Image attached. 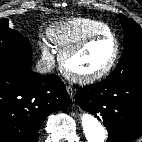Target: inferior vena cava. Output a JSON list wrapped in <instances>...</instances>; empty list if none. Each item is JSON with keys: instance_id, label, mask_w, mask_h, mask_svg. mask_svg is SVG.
Returning a JSON list of instances; mask_svg holds the SVG:
<instances>
[{"instance_id": "obj_1", "label": "inferior vena cava", "mask_w": 142, "mask_h": 142, "mask_svg": "<svg viewBox=\"0 0 142 142\" xmlns=\"http://www.w3.org/2000/svg\"><path fill=\"white\" fill-rule=\"evenodd\" d=\"M55 65V61L53 59H41L40 61H38V63L36 64V70L39 73H47L50 72Z\"/></svg>"}]
</instances>
